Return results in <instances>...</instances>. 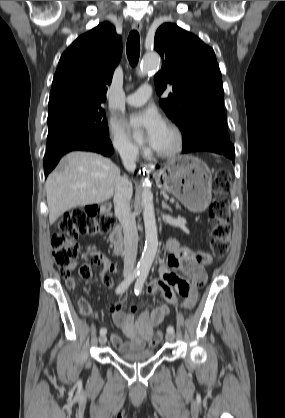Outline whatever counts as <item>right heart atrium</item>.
<instances>
[{"label": "right heart atrium", "instance_id": "1", "mask_svg": "<svg viewBox=\"0 0 285 418\" xmlns=\"http://www.w3.org/2000/svg\"><path fill=\"white\" fill-rule=\"evenodd\" d=\"M109 141L114 150L124 158L135 157L138 154V147L130 140L123 128H111Z\"/></svg>", "mask_w": 285, "mask_h": 418}]
</instances>
